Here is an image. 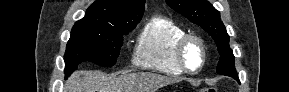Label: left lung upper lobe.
<instances>
[{
  "instance_id": "obj_1",
  "label": "left lung upper lobe",
  "mask_w": 289,
  "mask_h": 92,
  "mask_svg": "<svg viewBox=\"0 0 289 92\" xmlns=\"http://www.w3.org/2000/svg\"><path fill=\"white\" fill-rule=\"evenodd\" d=\"M176 12L192 23L201 26L214 39L220 60L217 73L238 78L233 51L229 46V35L220 19V13L207 0H166Z\"/></svg>"
}]
</instances>
